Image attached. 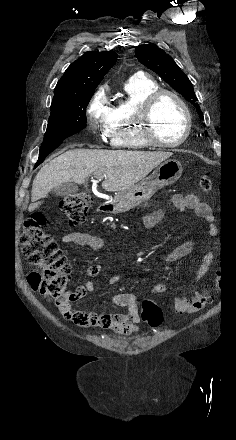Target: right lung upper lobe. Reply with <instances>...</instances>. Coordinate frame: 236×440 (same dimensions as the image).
<instances>
[{"instance_id": "1", "label": "right lung upper lobe", "mask_w": 236, "mask_h": 440, "mask_svg": "<svg viewBox=\"0 0 236 440\" xmlns=\"http://www.w3.org/2000/svg\"><path fill=\"white\" fill-rule=\"evenodd\" d=\"M113 51H89L73 62L58 81L52 104L94 93L103 76L115 64Z\"/></svg>"}]
</instances>
